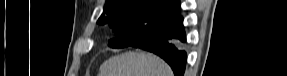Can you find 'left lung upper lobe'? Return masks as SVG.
Masks as SVG:
<instances>
[{
	"label": "left lung upper lobe",
	"mask_w": 287,
	"mask_h": 76,
	"mask_svg": "<svg viewBox=\"0 0 287 76\" xmlns=\"http://www.w3.org/2000/svg\"><path fill=\"white\" fill-rule=\"evenodd\" d=\"M179 9V0H107L98 23H109L117 36L109 46L123 48L176 15Z\"/></svg>",
	"instance_id": "obj_1"
}]
</instances>
